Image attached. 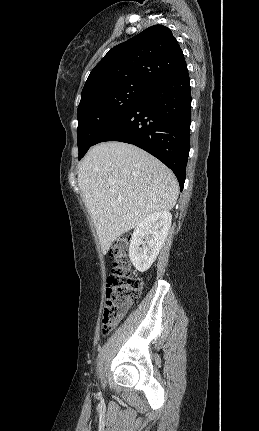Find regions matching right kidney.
<instances>
[{
	"label": "right kidney",
	"mask_w": 259,
	"mask_h": 431,
	"mask_svg": "<svg viewBox=\"0 0 259 431\" xmlns=\"http://www.w3.org/2000/svg\"><path fill=\"white\" fill-rule=\"evenodd\" d=\"M169 211L155 212L135 228L129 246V258L134 267L144 272L155 261L171 226Z\"/></svg>",
	"instance_id": "1"
}]
</instances>
